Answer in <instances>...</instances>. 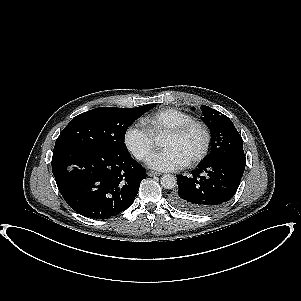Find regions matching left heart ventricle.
I'll use <instances>...</instances> for the list:
<instances>
[{"instance_id":"1","label":"left heart ventricle","mask_w":301,"mask_h":301,"mask_svg":"<svg viewBox=\"0 0 301 301\" xmlns=\"http://www.w3.org/2000/svg\"><path fill=\"white\" fill-rule=\"evenodd\" d=\"M203 135L199 128L194 127L178 137H166L161 144L165 149H171L184 159L191 158L201 147Z\"/></svg>"}]
</instances>
